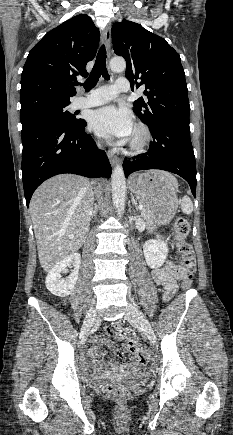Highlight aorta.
<instances>
[{
	"label": "aorta",
	"instance_id": "obj_1",
	"mask_svg": "<svg viewBox=\"0 0 233 435\" xmlns=\"http://www.w3.org/2000/svg\"><path fill=\"white\" fill-rule=\"evenodd\" d=\"M110 68L114 72H122L126 68L123 58H113L110 61ZM112 199L119 216L123 215L126 196L125 175L121 165L117 164L112 173Z\"/></svg>",
	"mask_w": 233,
	"mask_h": 435
}]
</instances>
